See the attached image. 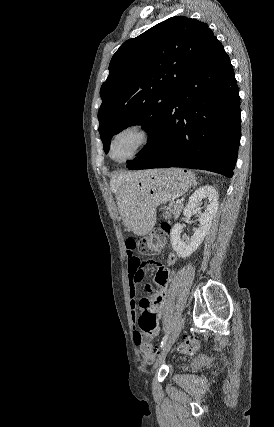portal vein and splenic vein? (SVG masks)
Returning a JSON list of instances; mask_svg holds the SVG:
<instances>
[{
	"label": "portal vein and splenic vein",
	"instance_id": "1",
	"mask_svg": "<svg viewBox=\"0 0 274 427\" xmlns=\"http://www.w3.org/2000/svg\"><path fill=\"white\" fill-rule=\"evenodd\" d=\"M177 204H181L180 200H177Z\"/></svg>",
	"mask_w": 274,
	"mask_h": 427
}]
</instances>
